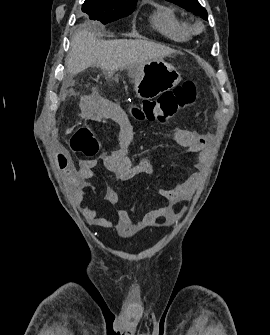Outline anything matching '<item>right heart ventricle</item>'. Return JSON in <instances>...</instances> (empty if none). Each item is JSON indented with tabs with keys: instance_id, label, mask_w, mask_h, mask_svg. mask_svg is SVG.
Listing matches in <instances>:
<instances>
[{
	"instance_id": "1",
	"label": "right heart ventricle",
	"mask_w": 270,
	"mask_h": 335,
	"mask_svg": "<svg viewBox=\"0 0 270 335\" xmlns=\"http://www.w3.org/2000/svg\"><path fill=\"white\" fill-rule=\"evenodd\" d=\"M152 27L163 36L174 41H185L193 31L186 21L179 18L168 6L157 5L151 16Z\"/></svg>"
}]
</instances>
